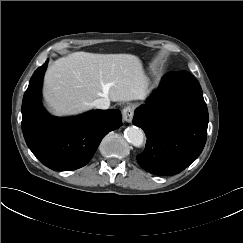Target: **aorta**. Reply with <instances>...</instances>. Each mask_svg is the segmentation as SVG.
<instances>
[{
    "label": "aorta",
    "mask_w": 243,
    "mask_h": 243,
    "mask_svg": "<svg viewBox=\"0 0 243 243\" xmlns=\"http://www.w3.org/2000/svg\"><path fill=\"white\" fill-rule=\"evenodd\" d=\"M124 134L127 141L133 146L141 147L143 145L144 133L140 128L136 126L127 127Z\"/></svg>",
    "instance_id": "1"
}]
</instances>
